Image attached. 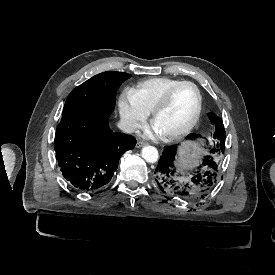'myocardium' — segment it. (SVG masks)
Wrapping results in <instances>:
<instances>
[{"label": "myocardium", "instance_id": "f54148a6", "mask_svg": "<svg viewBox=\"0 0 275 275\" xmlns=\"http://www.w3.org/2000/svg\"><path fill=\"white\" fill-rule=\"evenodd\" d=\"M182 84H190L195 88L196 94H197V107H196V111H195L192 119L189 121V123L186 126H184L180 130L165 134V136L170 138V139L179 138V137H182V136L188 134L194 128L196 123L198 122V120L200 118V115H201V112H202L203 97H202V93H201V90L198 87V85L196 83H194L193 81H190V80H180V81H177V82L173 83L164 92L163 96L161 97V99L159 100V102L157 103V105L155 106V108L152 111V123L154 122L156 116L162 110H164L166 108V106L168 105L174 90Z\"/></svg>", "mask_w": 275, "mask_h": 275}]
</instances>
